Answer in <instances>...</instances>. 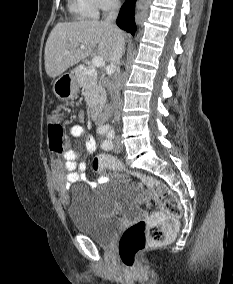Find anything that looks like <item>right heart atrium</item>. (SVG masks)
Returning a JSON list of instances; mask_svg holds the SVG:
<instances>
[{"label": "right heart atrium", "instance_id": "obj_1", "mask_svg": "<svg viewBox=\"0 0 233 284\" xmlns=\"http://www.w3.org/2000/svg\"><path fill=\"white\" fill-rule=\"evenodd\" d=\"M98 10L110 11L119 6V0H93Z\"/></svg>", "mask_w": 233, "mask_h": 284}]
</instances>
